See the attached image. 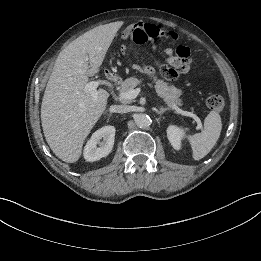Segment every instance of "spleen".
Listing matches in <instances>:
<instances>
[{
	"label": "spleen",
	"instance_id": "1",
	"mask_svg": "<svg viewBox=\"0 0 261 261\" xmlns=\"http://www.w3.org/2000/svg\"><path fill=\"white\" fill-rule=\"evenodd\" d=\"M221 129L220 115L211 111L204 120V129L200 133L187 136L193 150L194 160L202 159L212 150L220 136Z\"/></svg>",
	"mask_w": 261,
	"mask_h": 261
}]
</instances>
